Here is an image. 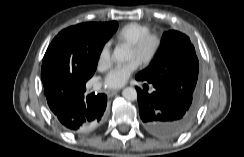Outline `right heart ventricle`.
<instances>
[{"label":"right heart ventricle","mask_w":244,"mask_h":157,"mask_svg":"<svg viewBox=\"0 0 244 157\" xmlns=\"http://www.w3.org/2000/svg\"><path fill=\"white\" fill-rule=\"evenodd\" d=\"M149 32H151V28L148 25L139 22H130L119 29L116 38L121 42L131 45Z\"/></svg>","instance_id":"e07e8e85"}]
</instances>
